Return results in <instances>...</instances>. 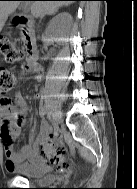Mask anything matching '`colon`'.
<instances>
[{"label":"colon","instance_id":"obj_1","mask_svg":"<svg viewBox=\"0 0 137 189\" xmlns=\"http://www.w3.org/2000/svg\"><path fill=\"white\" fill-rule=\"evenodd\" d=\"M0 54L10 64L21 63L24 59V52L14 42L0 37ZM16 75L5 68H0V100L10 103L9 93L16 87ZM42 153L47 159V164L54 169L65 168L66 151L63 147H56L51 143L43 146Z\"/></svg>","mask_w":137,"mask_h":189}]
</instances>
